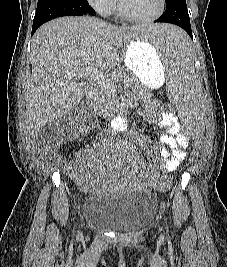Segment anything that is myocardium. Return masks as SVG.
Instances as JSON below:
<instances>
[{
	"instance_id": "myocardium-1",
	"label": "myocardium",
	"mask_w": 227,
	"mask_h": 267,
	"mask_svg": "<svg viewBox=\"0 0 227 267\" xmlns=\"http://www.w3.org/2000/svg\"><path fill=\"white\" fill-rule=\"evenodd\" d=\"M165 7H166V0H159V6L157 11L149 17L141 18L126 13V11L122 7L121 1L118 0L117 13L122 19L131 23H150L157 20L164 13Z\"/></svg>"
}]
</instances>
